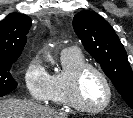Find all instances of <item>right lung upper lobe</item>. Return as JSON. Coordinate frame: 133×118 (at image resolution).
I'll use <instances>...</instances> for the list:
<instances>
[{
  "mask_svg": "<svg viewBox=\"0 0 133 118\" xmlns=\"http://www.w3.org/2000/svg\"><path fill=\"white\" fill-rule=\"evenodd\" d=\"M30 26V17L21 13H10L0 22V59L19 58Z\"/></svg>",
  "mask_w": 133,
  "mask_h": 118,
  "instance_id": "cb5924a9",
  "label": "right lung upper lobe"
}]
</instances>
